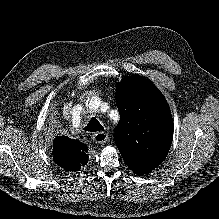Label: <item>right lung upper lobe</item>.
<instances>
[{
    "label": "right lung upper lobe",
    "mask_w": 219,
    "mask_h": 219,
    "mask_svg": "<svg viewBox=\"0 0 219 219\" xmlns=\"http://www.w3.org/2000/svg\"><path fill=\"white\" fill-rule=\"evenodd\" d=\"M87 146L79 140L67 136H58L54 140L53 159L62 168L76 171L88 161Z\"/></svg>",
    "instance_id": "1"
}]
</instances>
